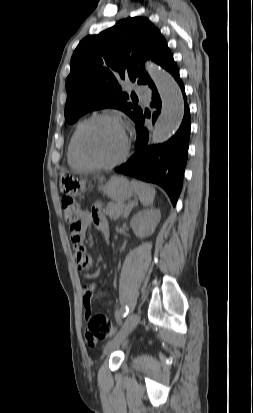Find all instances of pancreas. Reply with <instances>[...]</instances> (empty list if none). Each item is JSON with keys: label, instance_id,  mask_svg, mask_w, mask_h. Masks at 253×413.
<instances>
[{"label": "pancreas", "instance_id": "obj_1", "mask_svg": "<svg viewBox=\"0 0 253 413\" xmlns=\"http://www.w3.org/2000/svg\"><path fill=\"white\" fill-rule=\"evenodd\" d=\"M127 209V206L124 204H113L108 205L106 209L103 210L106 215L113 220H117L123 213L124 210Z\"/></svg>", "mask_w": 253, "mask_h": 413}]
</instances>
